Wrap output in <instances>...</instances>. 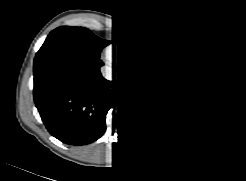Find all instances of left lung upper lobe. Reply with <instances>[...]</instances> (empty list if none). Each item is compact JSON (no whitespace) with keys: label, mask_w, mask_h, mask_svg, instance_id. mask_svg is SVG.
Masks as SVG:
<instances>
[{"label":"left lung upper lobe","mask_w":246,"mask_h":181,"mask_svg":"<svg viewBox=\"0 0 246 181\" xmlns=\"http://www.w3.org/2000/svg\"><path fill=\"white\" fill-rule=\"evenodd\" d=\"M184 37L188 46L187 57H194L202 54L212 55L211 51L201 43V38L197 34L188 32Z\"/></svg>","instance_id":"1"}]
</instances>
